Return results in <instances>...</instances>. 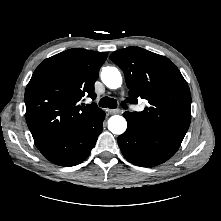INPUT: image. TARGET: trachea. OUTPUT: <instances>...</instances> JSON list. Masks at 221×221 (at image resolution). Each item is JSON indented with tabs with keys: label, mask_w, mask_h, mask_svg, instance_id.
<instances>
[{
	"label": "trachea",
	"mask_w": 221,
	"mask_h": 221,
	"mask_svg": "<svg viewBox=\"0 0 221 221\" xmlns=\"http://www.w3.org/2000/svg\"><path fill=\"white\" fill-rule=\"evenodd\" d=\"M99 106L103 108L115 109L117 107V101L114 98L103 97L99 101Z\"/></svg>",
	"instance_id": "trachea-1"
}]
</instances>
